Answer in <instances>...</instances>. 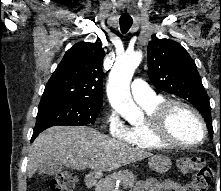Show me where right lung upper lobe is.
Segmentation results:
<instances>
[{
	"label": "right lung upper lobe",
	"instance_id": "right-lung-upper-lobe-1",
	"mask_svg": "<svg viewBox=\"0 0 221 191\" xmlns=\"http://www.w3.org/2000/svg\"><path fill=\"white\" fill-rule=\"evenodd\" d=\"M105 51L99 42L71 47L46 84L40 104L67 100L101 101Z\"/></svg>",
	"mask_w": 221,
	"mask_h": 191
}]
</instances>
